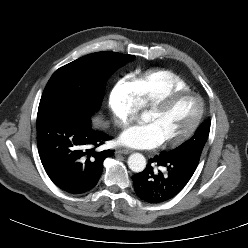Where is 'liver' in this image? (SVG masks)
<instances>
[{
	"label": "liver",
	"instance_id": "obj_1",
	"mask_svg": "<svg viewBox=\"0 0 248 248\" xmlns=\"http://www.w3.org/2000/svg\"><path fill=\"white\" fill-rule=\"evenodd\" d=\"M94 122H95V124H97V125H98V124H100V123H101V120L97 118V119H95V120H94Z\"/></svg>",
	"mask_w": 248,
	"mask_h": 248
}]
</instances>
